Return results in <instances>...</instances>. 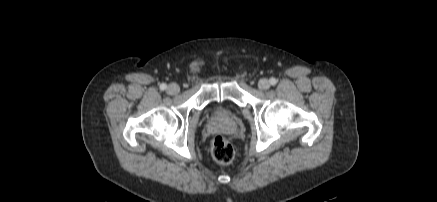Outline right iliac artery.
Wrapping results in <instances>:
<instances>
[{"label": "right iliac artery", "mask_w": 437, "mask_h": 202, "mask_svg": "<svg viewBox=\"0 0 437 202\" xmlns=\"http://www.w3.org/2000/svg\"><path fill=\"white\" fill-rule=\"evenodd\" d=\"M166 88H167V85H166V84L163 83V84L160 85V89H161V90H165Z\"/></svg>", "instance_id": "right-iliac-artery-1"}]
</instances>
